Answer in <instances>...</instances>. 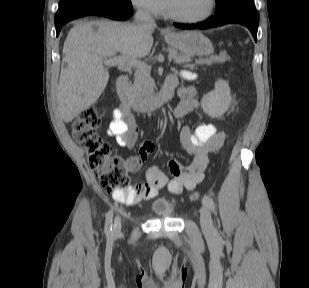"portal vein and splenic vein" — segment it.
Listing matches in <instances>:
<instances>
[{
    "label": "portal vein and splenic vein",
    "mask_w": 309,
    "mask_h": 288,
    "mask_svg": "<svg viewBox=\"0 0 309 288\" xmlns=\"http://www.w3.org/2000/svg\"><path fill=\"white\" fill-rule=\"evenodd\" d=\"M104 64L106 66H123V65H130V66H136L138 68H144L147 70H150V67L143 63L142 61L138 59H131L126 56H114L110 57L106 60H104ZM193 65H190L192 67Z\"/></svg>",
    "instance_id": "1"
}]
</instances>
